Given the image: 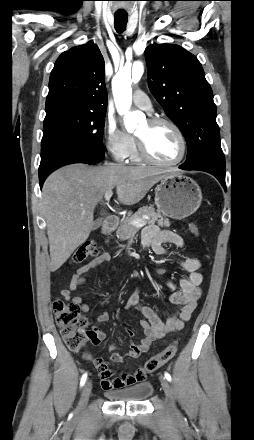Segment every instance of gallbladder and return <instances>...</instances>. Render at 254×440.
Returning <instances> with one entry per match:
<instances>
[{
	"label": "gallbladder",
	"instance_id": "bac80fb5",
	"mask_svg": "<svg viewBox=\"0 0 254 440\" xmlns=\"http://www.w3.org/2000/svg\"><path fill=\"white\" fill-rule=\"evenodd\" d=\"M102 221L100 219H96L94 221V226H93V230L98 229L101 226Z\"/></svg>",
	"mask_w": 254,
	"mask_h": 440
}]
</instances>
